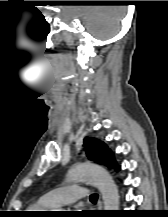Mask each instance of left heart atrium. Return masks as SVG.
I'll list each match as a JSON object with an SVG mask.
<instances>
[{
  "label": "left heart atrium",
  "instance_id": "39dd6f15",
  "mask_svg": "<svg viewBox=\"0 0 168 217\" xmlns=\"http://www.w3.org/2000/svg\"><path fill=\"white\" fill-rule=\"evenodd\" d=\"M81 212H77V214L76 215H78L77 217H81L80 215H82V214H80Z\"/></svg>",
  "mask_w": 168,
  "mask_h": 217
}]
</instances>
